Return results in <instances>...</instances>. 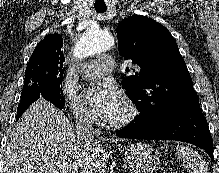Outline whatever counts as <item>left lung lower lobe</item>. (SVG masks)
I'll return each mask as SVG.
<instances>
[{"label":"left lung lower lobe","instance_id":"1","mask_svg":"<svg viewBox=\"0 0 219 173\" xmlns=\"http://www.w3.org/2000/svg\"><path fill=\"white\" fill-rule=\"evenodd\" d=\"M117 134L129 139L188 142L204 149L214 160L212 137L199 104L179 108L152 124L132 121Z\"/></svg>","mask_w":219,"mask_h":173}]
</instances>
